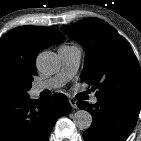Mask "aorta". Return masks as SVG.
Returning a JSON list of instances; mask_svg holds the SVG:
<instances>
[{
  "label": "aorta",
  "instance_id": "obj_1",
  "mask_svg": "<svg viewBox=\"0 0 141 141\" xmlns=\"http://www.w3.org/2000/svg\"><path fill=\"white\" fill-rule=\"evenodd\" d=\"M38 70L44 74H55L60 69V61L56 53L43 51L39 53L36 59ZM92 115L85 110H78L74 113L73 122L81 130L88 129L92 124Z\"/></svg>",
  "mask_w": 141,
  "mask_h": 141
}]
</instances>
